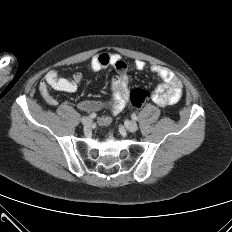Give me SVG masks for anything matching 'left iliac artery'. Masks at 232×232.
<instances>
[{"mask_svg": "<svg viewBox=\"0 0 232 232\" xmlns=\"http://www.w3.org/2000/svg\"><path fill=\"white\" fill-rule=\"evenodd\" d=\"M131 117H132V119L135 120V121L138 119L137 116H136V114H132Z\"/></svg>", "mask_w": 232, "mask_h": 232, "instance_id": "obj_1", "label": "left iliac artery"}]
</instances>
